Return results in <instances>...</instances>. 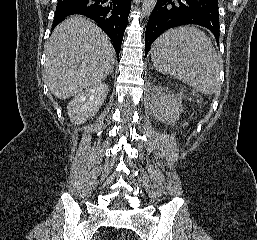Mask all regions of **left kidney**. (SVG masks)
Instances as JSON below:
<instances>
[{
    "mask_svg": "<svg viewBox=\"0 0 257 240\" xmlns=\"http://www.w3.org/2000/svg\"><path fill=\"white\" fill-rule=\"evenodd\" d=\"M182 96L160 91L153 104V113L157 120L174 123L182 112Z\"/></svg>",
    "mask_w": 257,
    "mask_h": 240,
    "instance_id": "left-kidney-1",
    "label": "left kidney"
}]
</instances>
